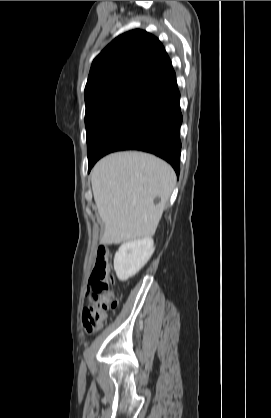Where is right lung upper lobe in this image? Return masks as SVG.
<instances>
[{
    "label": "right lung upper lobe",
    "instance_id": "1",
    "mask_svg": "<svg viewBox=\"0 0 271 418\" xmlns=\"http://www.w3.org/2000/svg\"><path fill=\"white\" fill-rule=\"evenodd\" d=\"M176 87V75L162 43L136 29L115 38L94 59L85 103L89 106L123 95L155 102Z\"/></svg>",
    "mask_w": 271,
    "mask_h": 418
}]
</instances>
